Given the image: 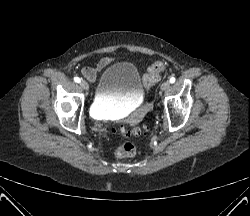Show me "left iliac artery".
Masks as SVG:
<instances>
[{"label": "left iliac artery", "instance_id": "1", "mask_svg": "<svg viewBox=\"0 0 250 216\" xmlns=\"http://www.w3.org/2000/svg\"><path fill=\"white\" fill-rule=\"evenodd\" d=\"M175 80H176V79H175L174 77H171L169 81H170V83H174Z\"/></svg>", "mask_w": 250, "mask_h": 216}]
</instances>
